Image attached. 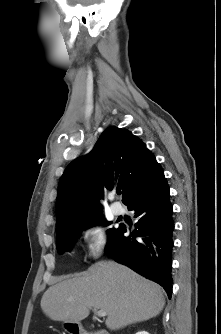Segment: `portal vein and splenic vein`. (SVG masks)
Segmentation results:
<instances>
[{"label":"portal vein and splenic vein","instance_id":"portal-vein-and-splenic-vein-1","mask_svg":"<svg viewBox=\"0 0 221 334\" xmlns=\"http://www.w3.org/2000/svg\"><path fill=\"white\" fill-rule=\"evenodd\" d=\"M92 310L98 317H105L107 315V312L102 309L97 310L96 308H94Z\"/></svg>","mask_w":221,"mask_h":334}]
</instances>
